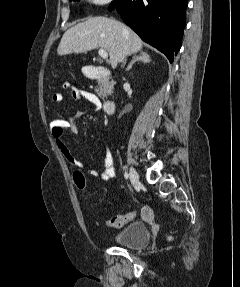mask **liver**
I'll return each mask as SVG.
<instances>
[{
  "mask_svg": "<svg viewBox=\"0 0 240 287\" xmlns=\"http://www.w3.org/2000/svg\"><path fill=\"white\" fill-rule=\"evenodd\" d=\"M142 40L123 23L107 17H91L68 29L58 46V55L87 53L98 47L110 56L112 67L122 62L126 55L142 49Z\"/></svg>",
  "mask_w": 240,
  "mask_h": 287,
  "instance_id": "1",
  "label": "liver"
}]
</instances>
